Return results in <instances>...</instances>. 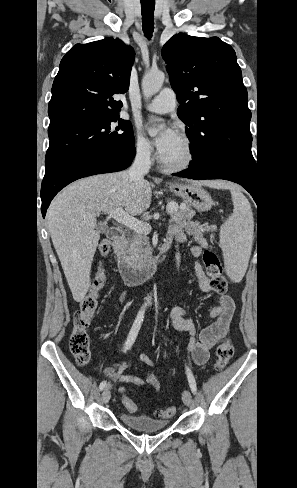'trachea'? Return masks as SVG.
Segmentation results:
<instances>
[{"mask_svg": "<svg viewBox=\"0 0 297 488\" xmlns=\"http://www.w3.org/2000/svg\"><path fill=\"white\" fill-rule=\"evenodd\" d=\"M155 2L141 1L142 27L146 38H151L154 30Z\"/></svg>", "mask_w": 297, "mask_h": 488, "instance_id": "1", "label": "trachea"}]
</instances>
